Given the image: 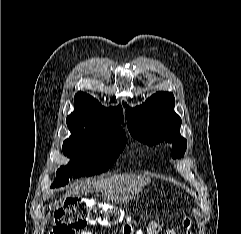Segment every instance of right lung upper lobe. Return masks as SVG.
<instances>
[{
  "mask_svg": "<svg viewBox=\"0 0 241 234\" xmlns=\"http://www.w3.org/2000/svg\"><path fill=\"white\" fill-rule=\"evenodd\" d=\"M67 122L85 130L123 131L119 124L124 122V118L120 106L105 108L90 95L78 92L75 111L67 117Z\"/></svg>",
  "mask_w": 241,
  "mask_h": 234,
  "instance_id": "1",
  "label": "right lung upper lobe"
}]
</instances>
